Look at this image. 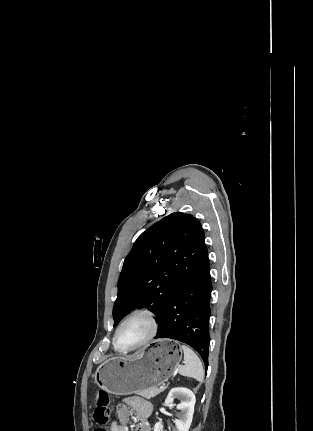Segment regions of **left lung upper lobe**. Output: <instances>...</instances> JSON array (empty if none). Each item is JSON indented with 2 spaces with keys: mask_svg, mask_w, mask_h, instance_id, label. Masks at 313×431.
<instances>
[{
  "mask_svg": "<svg viewBox=\"0 0 313 431\" xmlns=\"http://www.w3.org/2000/svg\"><path fill=\"white\" fill-rule=\"evenodd\" d=\"M206 252L201 224L190 214L172 213L144 231L123 264L113 307L114 326L127 312L143 307L158 320Z\"/></svg>",
  "mask_w": 313,
  "mask_h": 431,
  "instance_id": "obj_1",
  "label": "left lung upper lobe"
}]
</instances>
